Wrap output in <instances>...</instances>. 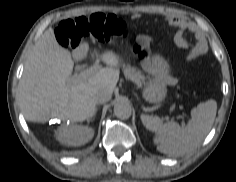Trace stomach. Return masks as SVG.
Masks as SVG:
<instances>
[{"label": "stomach", "mask_w": 236, "mask_h": 182, "mask_svg": "<svg viewBox=\"0 0 236 182\" xmlns=\"http://www.w3.org/2000/svg\"><path fill=\"white\" fill-rule=\"evenodd\" d=\"M141 65L153 78L145 84L143 98L150 103L162 102L167 94V85L171 80V67L166 59L158 54L142 56Z\"/></svg>", "instance_id": "0dacf381"}]
</instances>
